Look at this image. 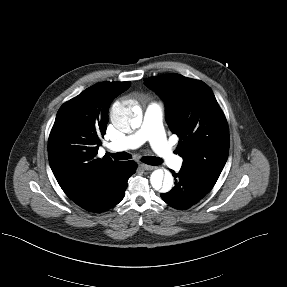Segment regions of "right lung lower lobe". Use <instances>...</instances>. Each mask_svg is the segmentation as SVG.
Here are the masks:
<instances>
[{"label":"right lung lower lobe","mask_w":287,"mask_h":287,"mask_svg":"<svg viewBox=\"0 0 287 287\" xmlns=\"http://www.w3.org/2000/svg\"><path fill=\"white\" fill-rule=\"evenodd\" d=\"M134 161L122 162L120 166L101 183H99L90 196L77 204L87 211L103 212L117 205L124 197L128 178L135 173Z\"/></svg>","instance_id":"obj_1"}]
</instances>
